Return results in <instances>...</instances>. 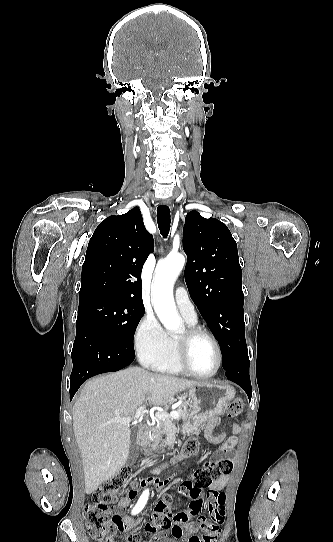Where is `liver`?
<instances>
[{
    "mask_svg": "<svg viewBox=\"0 0 333 542\" xmlns=\"http://www.w3.org/2000/svg\"><path fill=\"white\" fill-rule=\"evenodd\" d=\"M199 382L127 368L92 378L72 410L73 432L82 456L86 494L126 464L131 430L116 418H130L141 406H167L178 392Z\"/></svg>",
    "mask_w": 333,
    "mask_h": 542,
    "instance_id": "6515ba94",
    "label": "liver"
}]
</instances>
